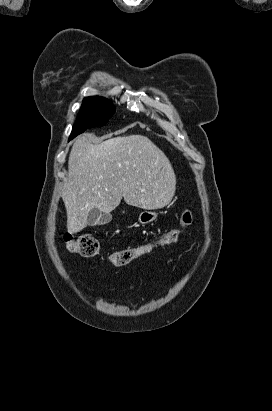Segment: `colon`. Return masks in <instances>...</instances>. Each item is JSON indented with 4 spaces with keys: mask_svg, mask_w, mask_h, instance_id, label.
Segmentation results:
<instances>
[{
    "mask_svg": "<svg viewBox=\"0 0 272 411\" xmlns=\"http://www.w3.org/2000/svg\"><path fill=\"white\" fill-rule=\"evenodd\" d=\"M192 222V213L185 211L182 215L180 225L164 234L153 244H144L119 250L109 256V261L114 266H124L134 259L148 253L154 246H163L176 243L181 231ZM67 248L82 257L91 258L100 254L101 245L99 240L93 235L86 234L75 238L72 234L66 233L63 236Z\"/></svg>",
    "mask_w": 272,
    "mask_h": 411,
    "instance_id": "colon-1",
    "label": "colon"
}]
</instances>
